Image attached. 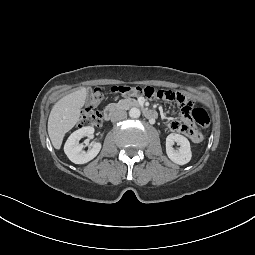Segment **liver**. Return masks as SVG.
Instances as JSON below:
<instances>
[{"mask_svg": "<svg viewBox=\"0 0 255 255\" xmlns=\"http://www.w3.org/2000/svg\"><path fill=\"white\" fill-rule=\"evenodd\" d=\"M86 99V90L80 89L61 98L48 118V134L55 149H60L65 134L78 122Z\"/></svg>", "mask_w": 255, "mask_h": 255, "instance_id": "1", "label": "liver"}]
</instances>
